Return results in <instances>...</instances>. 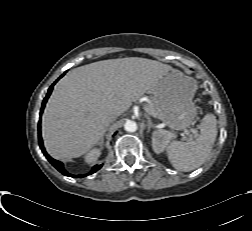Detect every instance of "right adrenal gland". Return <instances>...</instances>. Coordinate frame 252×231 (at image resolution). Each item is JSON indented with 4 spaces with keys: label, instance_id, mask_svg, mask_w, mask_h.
<instances>
[{
    "label": "right adrenal gland",
    "instance_id": "right-adrenal-gland-1",
    "mask_svg": "<svg viewBox=\"0 0 252 231\" xmlns=\"http://www.w3.org/2000/svg\"><path fill=\"white\" fill-rule=\"evenodd\" d=\"M103 144V138L101 139V141L99 142V146L101 147Z\"/></svg>",
    "mask_w": 252,
    "mask_h": 231
}]
</instances>
